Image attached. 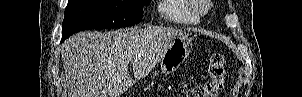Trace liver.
Segmentation results:
<instances>
[{"label": "liver", "instance_id": "1", "mask_svg": "<svg viewBox=\"0 0 302 97\" xmlns=\"http://www.w3.org/2000/svg\"><path fill=\"white\" fill-rule=\"evenodd\" d=\"M180 34L168 27L74 34L62 47L68 97H119L134 83L129 63L136 79L145 77Z\"/></svg>", "mask_w": 302, "mask_h": 97}]
</instances>
